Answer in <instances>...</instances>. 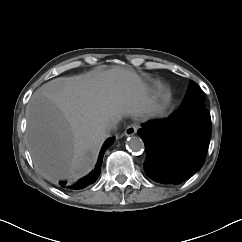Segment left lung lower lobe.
I'll return each instance as SVG.
<instances>
[{"label":"left lung lower lobe","instance_id":"obj_1","mask_svg":"<svg viewBox=\"0 0 242 242\" xmlns=\"http://www.w3.org/2000/svg\"><path fill=\"white\" fill-rule=\"evenodd\" d=\"M146 149L145 173L154 181L179 184L205 162L211 135V117L205 107L175 111L138 130Z\"/></svg>","mask_w":242,"mask_h":242}]
</instances>
